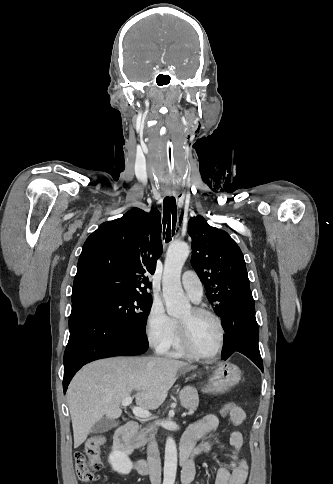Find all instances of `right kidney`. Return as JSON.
<instances>
[{
	"instance_id": "right-kidney-1",
	"label": "right kidney",
	"mask_w": 333,
	"mask_h": 484,
	"mask_svg": "<svg viewBox=\"0 0 333 484\" xmlns=\"http://www.w3.org/2000/svg\"><path fill=\"white\" fill-rule=\"evenodd\" d=\"M109 463L120 474H129L132 469L131 460L122 451H113L109 456Z\"/></svg>"
}]
</instances>
